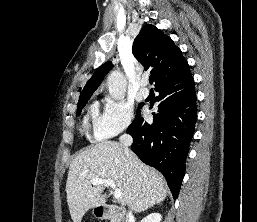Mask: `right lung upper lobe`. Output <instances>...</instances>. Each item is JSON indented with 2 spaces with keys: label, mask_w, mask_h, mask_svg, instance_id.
Returning <instances> with one entry per match:
<instances>
[{
  "label": "right lung upper lobe",
  "mask_w": 257,
  "mask_h": 222,
  "mask_svg": "<svg viewBox=\"0 0 257 222\" xmlns=\"http://www.w3.org/2000/svg\"><path fill=\"white\" fill-rule=\"evenodd\" d=\"M132 52L145 69L151 70V74L155 77V87L165 81L190 74L189 65L181 50L169 36L153 25L146 24L141 28L133 42ZM112 66L108 61L94 72L81 91L78 104L91 97Z\"/></svg>",
  "instance_id": "right-lung-upper-lobe-1"
}]
</instances>
